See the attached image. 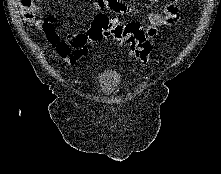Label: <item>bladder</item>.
<instances>
[{"label": "bladder", "instance_id": "bladder-1", "mask_svg": "<svg viewBox=\"0 0 221 174\" xmlns=\"http://www.w3.org/2000/svg\"><path fill=\"white\" fill-rule=\"evenodd\" d=\"M122 82V75L114 69H106L99 75V86L103 93L113 94Z\"/></svg>", "mask_w": 221, "mask_h": 174}]
</instances>
